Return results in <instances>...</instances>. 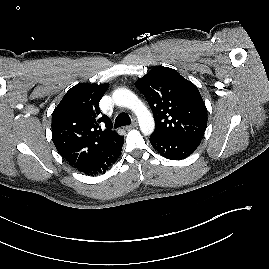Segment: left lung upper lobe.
Here are the masks:
<instances>
[{"label":"left lung upper lobe","instance_id":"obj_1","mask_svg":"<svg viewBox=\"0 0 269 269\" xmlns=\"http://www.w3.org/2000/svg\"><path fill=\"white\" fill-rule=\"evenodd\" d=\"M135 86L146 97L155 119L152 135L201 139L207 126V109L197 87L168 67H155Z\"/></svg>","mask_w":269,"mask_h":269}]
</instances>
